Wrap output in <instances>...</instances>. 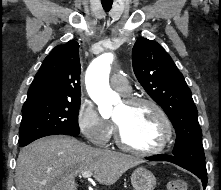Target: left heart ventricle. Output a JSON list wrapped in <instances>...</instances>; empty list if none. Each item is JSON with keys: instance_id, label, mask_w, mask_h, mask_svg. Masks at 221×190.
<instances>
[{"instance_id": "left-heart-ventricle-1", "label": "left heart ventricle", "mask_w": 221, "mask_h": 190, "mask_svg": "<svg viewBox=\"0 0 221 190\" xmlns=\"http://www.w3.org/2000/svg\"><path fill=\"white\" fill-rule=\"evenodd\" d=\"M113 119L119 124L125 140L135 147L149 148L161 139L162 122L148 105L128 106L123 101L115 110Z\"/></svg>"}]
</instances>
